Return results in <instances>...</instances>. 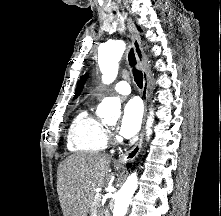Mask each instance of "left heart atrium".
<instances>
[{"label":"left heart atrium","mask_w":221,"mask_h":216,"mask_svg":"<svg viewBox=\"0 0 221 216\" xmlns=\"http://www.w3.org/2000/svg\"><path fill=\"white\" fill-rule=\"evenodd\" d=\"M142 106L136 99L129 100L123 107L119 133L124 138L133 137L140 129L142 122Z\"/></svg>","instance_id":"39dd6f15"}]
</instances>
